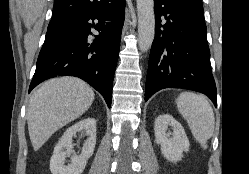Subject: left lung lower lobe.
Wrapping results in <instances>:
<instances>
[{"label":"left lung lower lobe","instance_id":"left-lung-lower-lobe-1","mask_svg":"<svg viewBox=\"0 0 249 174\" xmlns=\"http://www.w3.org/2000/svg\"><path fill=\"white\" fill-rule=\"evenodd\" d=\"M155 38L150 51L145 101L164 88L201 92L217 105L205 21L174 4L154 0Z\"/></svg>","mask_w":249,"mask_h":174}]
</instances>
